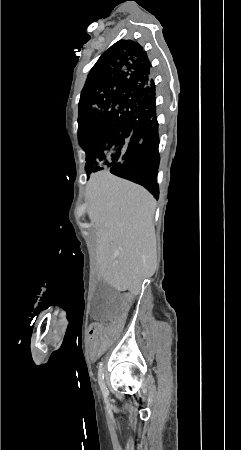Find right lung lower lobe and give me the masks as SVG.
Instances as JSON below:
<instances>
[{
  "instance_id": "98d812e1",
  "label": "right lung lower lobe",
  "mask_w": 241,
  "mask_h": 450,
  "mask_svg": "<svg viewBox=\"0 0 241 450\" xmlns=\"http://www.w3.org/2000/svg\"><path fill=\"white\" fill-rule=\"evenodd\" d=\"M146 88L148 93L145 100L148 107L144 116L133 121L124 129H132L142 134L143 140L112 166L110 172L144 186L158 198L159 137L154 98L155 83L151 77L147 81Z\"/></svg>"
}]
</instances>
